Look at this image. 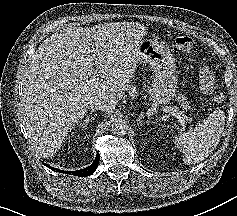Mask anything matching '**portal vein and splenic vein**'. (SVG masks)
<instances>
[{
    "mask_svg": "<svg viewBox=\"0 0 237 216\" xmlns=\"http://www.w3.org/2000/svg\"><path fill=\"white\" fill-rule=\"evenodd\" d=\"M99 80V78L96 76V75H93L92 76V79L90 80V81H92V82H95V81H98ZM183 117H180L179 118V122L181 123V124H183L182 126H184V124H185V121L187 120V116H184V115H182Z\"/></svg>",
    "mask_w": 237,
    "mask_h": 216,
    "instance_id": "obj_1",
    "label": "portal vein and splenic vein"
}]
</instances>
